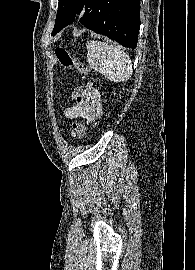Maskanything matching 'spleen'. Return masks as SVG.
Wrapping results in <instances>:
<instances>
[{
  "label": "spleen",
  "instance_id": "spleen-1",
  "mask_svg": "<svg viewBox=\"0 0 195 270\" xmlns=\"http://www.w3.org/2000/svg\"><path fill=\"white\" fill-rule=\"evenodd\" d=\"M87 52L89 67L108 80L124 82L131 77L132 61L119 46L93 40L87 43Z\"/></svg>",
  "mask_w": 195,
  "mask_h": 270
}]
</instances>
